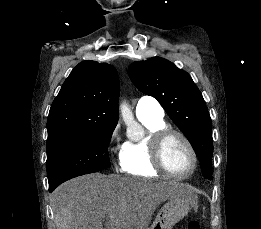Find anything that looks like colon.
I'll return each mask as SVG.
<instances>
[{
  "label": "colon",
  "mask_w": 261,
  "mask_h": 229,
  "mask_svg": "<svg viewBox=\"0 0 261 229\" xmlns=\"http://www.w3.org/2000/svg\"><path fill=\"white\" fill-rule=\"evenodd\" d=\"M187 229H202V227L197 221H192L188 224Z\"/></svg>",
  "instance_id": "5ec220e1"
}]
</instances>
